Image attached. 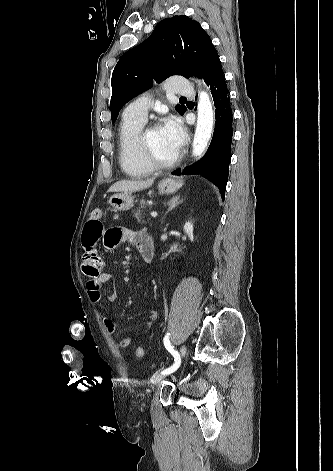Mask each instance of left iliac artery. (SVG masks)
I'll use <instances>...</instances> for the list:
<instances>
[{"mask_svg":"<svg viewBox=\"0 0 333 471\" xmlns=\"http://www.w3.org/2000/svg\"><path fill=\"white\" fill-rule=\"evenodd\" d=\"M164 346L165 348L172 354V356L174 357V363L172 366H170L169 368H166L164 370L161 371V374H169V373H172L174 371H176L179 366H180V363H181V358H180V355L179 353L174 349V347L171 345L170 343V340H169V334H166L165 337H164Z\"/></svg>","mask_w":333,"mask_h":471,"instance_id":"1","label":"left iliac artery"}]
</instances>
